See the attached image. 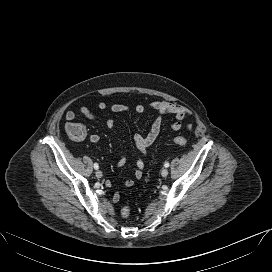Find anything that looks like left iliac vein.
Returning <instances> with one entry per match:
<instances>
[{"instance_id": "1", "label": "left iliac vein", "mask_w": 272, "mask_h": 272, "mask_svg": "<svg viewBox=\"0 0 272 272\" xmlns=\"http://www.w3.org/2000/svg\"><path fill=\"white\" fill-rule=\"evenodd\" d=\"M161 175H162L163 177H166V176L168 175V170H167L166 168L162 169Z\"/></svg>"}]
</instances>
